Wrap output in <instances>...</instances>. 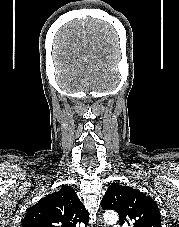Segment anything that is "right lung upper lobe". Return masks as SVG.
I'll list each match as a JSON object with an SVG mask.
<instances>
[{
    "instance_id": "cb5924a9",
    "label": "right lung upper lobe",
    "mask_w": 179,
    "mask_h": 227,
    "mask_svg": "<svg viewBox=\"0 0 179 227\" xmlns=\"http://www.w3.org/2000/svg\"><path fill=\"white\" fill-rule=\"evenodd\" d=\"M89 213L74 189L63 186L33 205L26 213L22 227H76L87 224Z\"/></svg>"
}]
</instances>
